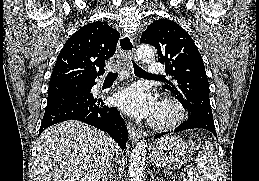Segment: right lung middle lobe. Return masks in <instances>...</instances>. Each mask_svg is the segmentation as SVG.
Listing matches in <instances>:
<instances>
[{"label":"right lung middle lobe","instance_id":"obj_1","mask_svg":"<svg viewBox=\"0 0 259 181\" xmlns=\"http://www.w3.org/2000/svg\"><path fill=\"white\" fill-rule=\"evenodd\" d=\"M74 87H76L75 83L50 85L48 88V99Z\"/></svg>","mask_w":259,"mask_h":181}]
</instances>
